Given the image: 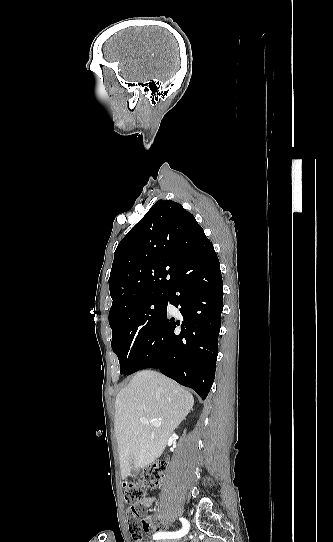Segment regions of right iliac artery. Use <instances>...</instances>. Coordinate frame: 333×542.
<instances>
[{"mask_svg":"<svg viewBox=\"0 0 333 542\" xmlns=\"http://www.w3.org/2000/svg\"><path fill=\"white\" fill-rule=\"evenodd\" d=\"M183 524V528L180 531L177 532H158L153 535V539H162V538H168V539H175L180 538L188 533L189 531V523L186 519H180Z\"/></svg>","mask_w":333,"mask_h":542,"instance_id":"obj_1","label":"right iliac artery"}]
</instances>
